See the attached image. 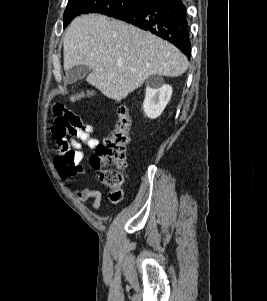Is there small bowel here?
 <instances>
[{
  "label": "small bowel",
  "mask_w": 267,
  "mask_h": 301,
  "mask_svg": "<svg viewBox=\"0 0 267 301\" xmlns=\"http://www.w3.org/2000/svg\"><path fill=\"white\" fill-rule=\"evenodd\" d=\"M53 114L55 121L51 126V133L58 146L54 165L59 177L67 182L73 176L86 172L81 165L84 158L83 145L94 149L98 146L99 140L94 136L95 127L92 124L84 123L62 104L56 103L53 106ZM75 195L82 202L92 200L93 210L100 209L102 200L100 191L85 188L76 191Z\"/></svg>",
  "instance_id": "1"
}]
</instances>
